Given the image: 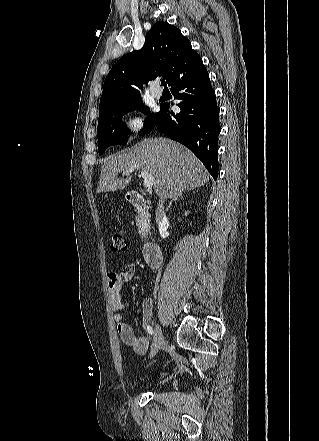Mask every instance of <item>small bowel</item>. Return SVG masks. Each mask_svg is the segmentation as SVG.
<instances>
[{"instance_id": "1", "label": "small bowel", "mask_w": 319, "mask_h": 441, "mask_svg": "<svg viewBox=\"0 0 319 441\" xmlns=\"http://www.w3.org/2000/svg\"><path fill=\"white\" fill-rule=\"evenodd\" d=\"M135 264L129 263L124 265L119 272H111L107 276V284L110 298L111 309L115 312L114 322L117 328V332L120 336L122 342L140 355H144L149 348V339L146 335L137 336L132 327L127 324L121 313L119 311L127 309L128 303L125 302L121 296L120 291L123 284L130 279L135 274ZM154 298L147 297L142 302V321L143 329H147L149 325L148 322L151 320L153 315Z\"/></svg>"}]
</instances>
